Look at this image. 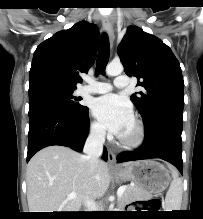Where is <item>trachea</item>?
Returning <instances> with one entry per match:
<instances>
[{
    "mask_svg": "<svg viewBox=\"0 0 203 219\" xmlns=\"http://www.w3.org/2000/svg\"><path fill=\"white\" fill-rule=\"evenodd\" d=\"M109 60V40L108 36L103 33L100 39L99 52L96 63V73L104 74L106 65Z\"/></svg>",
    "mask_w": 203,
    "mask_h": 219,
    "instance_id": "obj_1",
    "label": "trachea"
}]
</instances>
